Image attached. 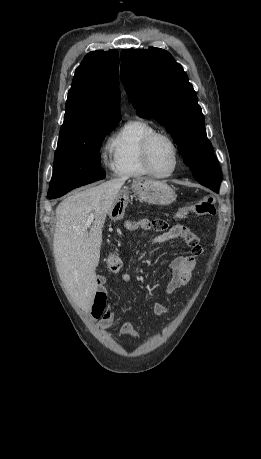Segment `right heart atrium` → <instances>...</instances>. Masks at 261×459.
<instances>
[{"mask_svg": "<svg viewBox=\"0 0 261 459\" xmlns=\"http://www.w3.org/2000/svg\"><path fill=\"white\" fill-rule=\"evenodd\" d=\"M105 164H106L109 168H113V164H112V162H110L109 160H105Z\"/></svg>", "mask_w": 261, "mask_h": 459, "instance_id": "obj_1", "label": "right heart atrium"}]
</instances>
